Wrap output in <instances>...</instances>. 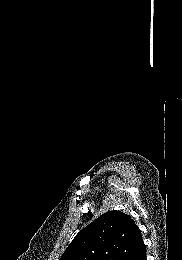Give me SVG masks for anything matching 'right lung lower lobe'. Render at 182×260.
Listing matches in <instances>:
<instances>
[{
  "mask_svg": "<svg viewBox=\"0 0 182 260\" xmlns=\"http://www.w3.org/2000/svg\"><path fill=\"white\" fill-rule=\"evenodd\" d=\"M130 260H146V249L145 246L134 254Z\"/></svg>",
  "mask_w": 182,
  "mask_h": 260,
  "instance_id": "98d812e1",
  "label": "right lung lower lobe"
}]
</instances>
